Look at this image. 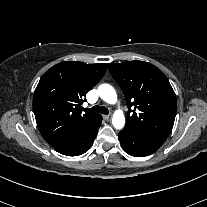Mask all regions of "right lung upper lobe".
<instances>
[{"label":"right lung upper lobe","instance_id":"right-lung-upper-lobe-1","mask_svg":"<svg viewBox=\"0 0 207 207\" xmlns=\"http://www.w3.org/2000/svg\"><path fill=\"white\" fill-rule=\"evenodd\" d=\"M104 63L65 61L50 68L40 79L33 96V110L43 138L51 145L73 129L91 123L99 114H82L85 96L103 77Z\"/></svg>","mask_w":207,"mask_h":207}]
</instances>
